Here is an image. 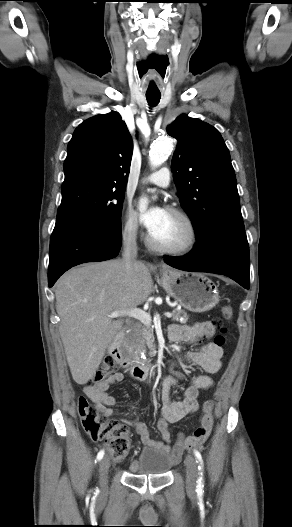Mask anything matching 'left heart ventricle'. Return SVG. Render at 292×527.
Segmentation results:
<instances>
[{
	"label": "left heart ventricle",
	"instance_id": "left-heart-ventricle-1",
	"mask_svg": "<svg viewBox=\"0 0 292 527\" xmlns=\"http://www.w3.org/2000/svg\"><path fill=\"white\" fill-rule=\"evenodd\" d=\"M150 235L160 244L174 246L186 240L187 228L182 220L166 212L159 227Z\"/></svg>",
	"mask_w": 292,
	"mask_h": 527
}]
</instances>
